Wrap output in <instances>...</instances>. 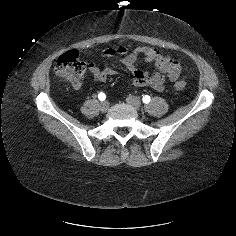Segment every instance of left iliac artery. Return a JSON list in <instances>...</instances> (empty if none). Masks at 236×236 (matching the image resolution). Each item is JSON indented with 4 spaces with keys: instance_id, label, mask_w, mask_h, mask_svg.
I'll return each mask as SVG.
<instances>
[{
    "instance_id": "left-iliac-artery-1",
    "label": "left iliac artery",
    "mask_w": 236,
    "mask_h": 236,
    "mask_svg": "<svg viewBox=\"0 0 236 236\" xmlns=\"http://www.w3.org/2000/svg\"><path fill=\"white\" fill-rule=\"evenodd\" d=\"M150 100H151V99H150V96H148V95H145V96L143 97V99H142L143 103H145V104L149 103Z\"/></svg>"
}]
</instances>
